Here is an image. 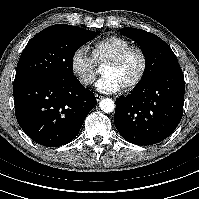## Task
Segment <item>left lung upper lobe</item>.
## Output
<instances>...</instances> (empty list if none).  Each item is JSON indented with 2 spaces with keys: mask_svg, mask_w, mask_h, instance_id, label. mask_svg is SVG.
Wrapping results in <instances>:
<instances>
[{
  "mask_svg": "<svg viewBox=\"0 0 199 199\" xmlns=\"http://www.w3.org/2000/svg\"><path fill=\"white\" fill-rule=\"evenodd\" d=\"M121 33L140 45L146 60L143 76L138 84H142L160 71L178 64L171 48L158 36L136 28H123Z\"/></svg>",
  "mask_w": 199,
  "mask_h": 199,
  "instance_id": "5c2ea615",
  "label": "left lung upper lobe"
}]
</instances>
